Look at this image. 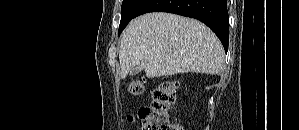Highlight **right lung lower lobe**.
I'll use <instances>...</instances> for the list:
<instances>
[{
  "label": "right lung lower lobe",
  "instance_id": "1",
  "mask_svg": "<svg viewBox=\"0 0 299 130\" xmlns=\"http://www.w3.org/2000/svg\"><path fill=\"white\" fill-rule=\"evenodd\" d=\"M148 12H169L205 23L228 50L229 22L226 0H147L135 17Z\"/></svg>",
  "mask_w": 299,
  "mask_h": 130
}]
</instances>
